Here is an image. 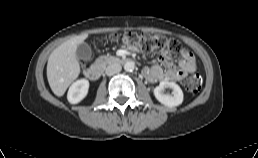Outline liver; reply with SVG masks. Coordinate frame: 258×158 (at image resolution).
<instances>
[{"instance_id":"6515ba94","label":"liver","mask_w":258,"mask_h":158,"mask_svg":"<svg viewBox=\"0 0 258 158\" xmlns=\"http://www.w3.org/2000/svg\"><path fill=\"white\" fill-rule=\"evenodd\" d=\"M87 37L88 34L75 36L59 45L50 54L47 63V79L56 96H63L69 85L78 77L80 65L76 50Z\"/></svg>"}]
</instances>
